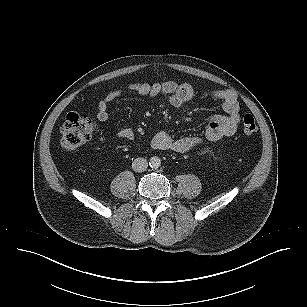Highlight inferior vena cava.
I'll list each match as a JSON object with an SVG mask.
<instances>
[{
	"label": "inferior vena cava",
	"mask_w": 307,
	"mask_h": 307,
	"mask_svg": "<svg viewBox=\"0 0 307 307\" xmlns=\"http://www.w3.org/2000/svg\"><path fill=\"white\" fill-rule=\"evenodd\" d=\"M148 167V162L144 158H136L132 163V169L135 172H144Z\"/></svg>",
	"instance_id": "inferior-vena-cava-1"
}]
</instances>
